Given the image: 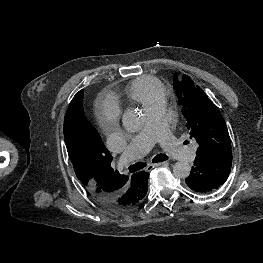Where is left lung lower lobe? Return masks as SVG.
Segmentation results:
<instances>
[{"label": "left lung lower lobe", "instance_id": "0a47b994", "mask_svg": "<svg viewBox=\"0 0 263 263\" xmlns=\"http://www.w3.org/2000/svg\"><path fill=\"white\" fill-rule=\"evenodd\" d=\"M232 165V150L220 149L214 153L196 156L195 165L185 179L190 189L200 194L217 190L227 180Z\"/></svg>", "mask_w": 263, "mask_h": 263}]
</instances>
